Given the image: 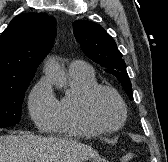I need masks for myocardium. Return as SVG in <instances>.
Returning a JSON list of instances; mask_svg holds the SVG:
<instances>
[{"label": "myocardium", "mask_w": 168, "mask_h": 162, "mask_svg": "<svg viewBox=\"0 0 168 162\" xmlns=\"http://www.w3.org/2000/svg\"><path fill=\"white\" fill-rule=\"evenodd\" d=\"M100 91H107L111 93L117 100L122 115H121V120L119 121L118 124L114 126H105L100 124L96 118L93 115L92 112V100L94 96L100 92ZM80 109H81V114L85 121L94 129L100 131V132H114L120 130L126 123L127 117H128V111H127V106L125 104L124 99L120 95V93L113 87L108 86V85H103V84H95L89 89L85 91L81 98L80 102Z\"/></svg>", "instance_id": "myocardium-1"}]
</instances>
